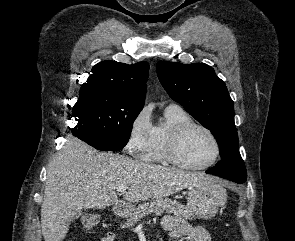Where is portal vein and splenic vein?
<instances>
[{"mask_svg": "<svg viewBox=\"0 0 295 241\" xmlns=\"http://www.w3.org/2000/svg\"><path fill=\"white\" fill-rule=\"evenodd\" d=\"M127 188H128L127 185H121V186L117 187V191L119 193H124V192H126Z\"/></svg>", "mask_w": 295, "mask_h": 241, "instance_id": "1", "label": "portal vein and splenic vein"}]
</instances>
